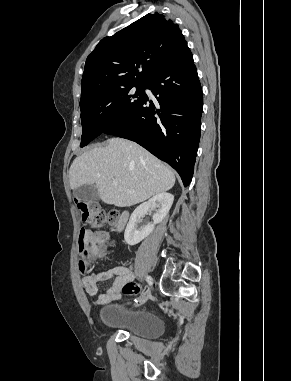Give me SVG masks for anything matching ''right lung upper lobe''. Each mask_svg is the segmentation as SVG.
Masks as SVG:
<instances>
[{
    "label": "right lung upper lobe",
    "instance_id": "obj_1",
    "mask_svg": "<svg viewBox=\"0 0 291 381\" xmlns=\"http://www.w3.org/2000/svg\"><path fill=\"white\" fill-rule=\"evenodd\" d=\"M185 48L177 24L157 12L148 13L103 38L87 57L80 104L115 87L147 83Z\"/></svg>",
    "mask_w": 291,
    "mask_h": 381
}]
</instances>
